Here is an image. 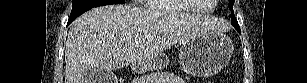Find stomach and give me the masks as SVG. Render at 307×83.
Segmentation results:
<instances>
[{"mask_svg": "<svg viewBox=\"0 0 307 83\" xmlns=\"http://www.w3.org/2000/svg\"><path fill=\"white\" fill-rule=\"evenodd\" d=\"M233 44L226 35L198 36L182 42L179 58L183 69L198 77L218 73L230 60ZM168 63L165 55H158L137 64V71L160 70Z\"/></svg>", "mask_w": 307, "mask_h": 83, "instance_id": "0dacf381", "label": "stomach"}]
</instances>
